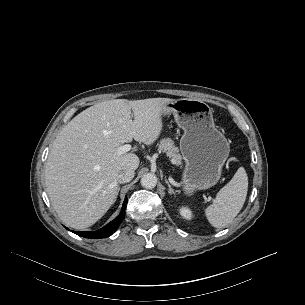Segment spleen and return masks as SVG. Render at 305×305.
Wrapping results in <instances>:
<instances>
[{"mask_svg":"<svg viewBox=\"0 0 305 305\" xmlns=\"http://www.w3.org/2000/svg\"><path fill=\"white\" fill-rule=\"evenodd\" d=\"M248 176L243 167L217 193L213 204L205 210L209 223L215 228L230 224L241 211L247 196Z\"/></svg>","mask_w":305,"mask_h":305,"instance_id":"3e777b00","label":"spleen"}]
</instances>
